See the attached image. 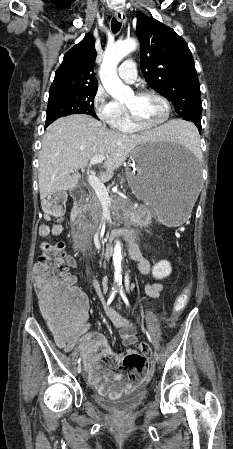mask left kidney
<instances>
[{
	"instance_id": "1",
	"label": "left kidney",
	"mask_w": 233,
	"mask_h": 449,
	"mask_svg": "<svg viewBox=\"0 0 233 449\" xmlns=\"http://www.w3.org/2000/svg\"><path fill=\"white\" fill-rule=\"evenodd\" d=\"M172 272L171 264L167 260H162L156 263L152 268V275L156 279H163L169 276Z\"/></svg>"
}]
</instances>
